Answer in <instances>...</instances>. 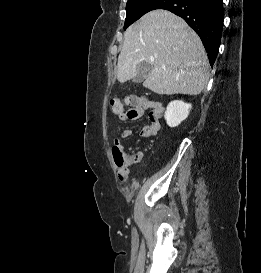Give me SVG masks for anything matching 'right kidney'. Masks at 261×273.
<instances>
[{
	"label": "right kidney",
	"instance_id": "1",
	"mask_svg": "<svg viewBox=\"0 0 261 273\" xmlns=\"http://www.w3.org/2000/svg\"><path fill=\"white\" fill-rule=\"evenodd\" d=\"M191 108V104L185 103L182 100L170 102L164 115L167 125L169 127L178 126L188 117Z\"/></svg>",
	"mask_w": 261,
	"mask_h": 273
}]
</instances>
